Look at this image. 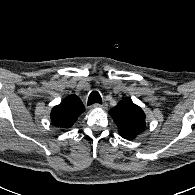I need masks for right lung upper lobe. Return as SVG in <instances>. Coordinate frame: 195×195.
Masks as SVG:
<instances>
[{"label":"right lung upper lobe","mask_w":195,"mask_h":195,"mask_svg":"<svg viewBox=\"0 0 195 195\" xmlns=\"http://www.w3.org/2000/svg\"><path fill=\"white\" fill-rule=\"evenodd\" d=\"M85 111L80 98L69 95L51 111V121L54 126L65 130L73 126L78 116Z\"/></svg>","instance_id":"obj_1"}]
</instances>
